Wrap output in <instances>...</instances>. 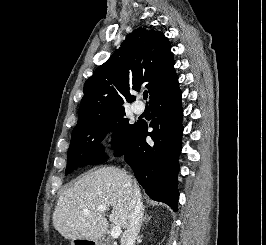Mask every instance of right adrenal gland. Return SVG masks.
<instances>
[{
	"label": "right adrenal gland",
	"instance_id": "obj_1",
	"mask_svg": "<svg viewBox=\"0 0 266 245\" xmlns=\"http://www.w3.org/2000/svg\"><path fill=\"white\" fill-rule=\"evenodd\" d=\"M143 221L144 223H148V221H150V217H147V215H145V217H143Z\"/></svg>",
	"mask_w": 266,
	"mask_h": 245
}]
</instances>
